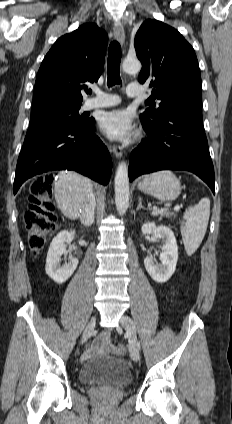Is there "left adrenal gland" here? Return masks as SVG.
I'll use <instances>...</instances> for the list:
<instances>
[{
    "label": "left adrenal gland",
    "instance_id": "obj_1",
    "mask_svg": "<svg viewBox=\"0 0 232 424\" xmlns=\"http://www.w3.org/2000/svg\"><path fill=\"white\" fill-rule=\"evenodd\" d=\"M140 209H145V208L142 206V199H141V197H139V204H138V206H137V208H136V211H139Z\"/></svg>",
    "mask_w": 232,
    "mask_h": 424
}]
</instances>
